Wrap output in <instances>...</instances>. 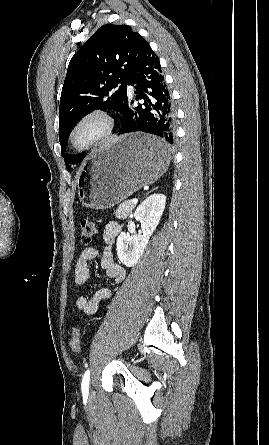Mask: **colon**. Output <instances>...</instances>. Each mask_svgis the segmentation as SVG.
<instances>
[{
    "instance_id": "obj_1",
    "label": "colon",
    "mask_w": 269,
    "mask_h": 445,
    "mask_svg": "<svg viewBox=\"0 0 269 445\" xmlns=\"http://www.w3.org/2000/svg\"><path fill=\"white\" fill-rule=\"evenodd\" d=\"M81 242L88 244L93 239L97 232V225L90 219H85L81 222ZM69 345L74 353H78L81 349V336L79 328H75L72 332Z\"/></svg>"
}]
</instances>
